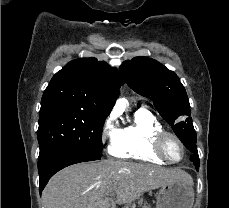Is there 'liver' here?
Returning a JSON list of instances; mask_svg holds the SVG:
<instances>
[{"mask_svg": "<svg viewBox=\"0 0 229 208\" xmlns=\"http://www.w3.org/2000/svg\"><path fill=\"white\" fill-rule=\"evenodd\" d=\"M169 182L193 180L184 170L154 164L98 160L61 170L42 192L46 208H110L108 196L115 192L117 204H131L144 192Z\"/></svg>", "mask_w": 229, "mask_h": 208, "instance_id": "6515ba94", "label": "liver"}]
</instances>
